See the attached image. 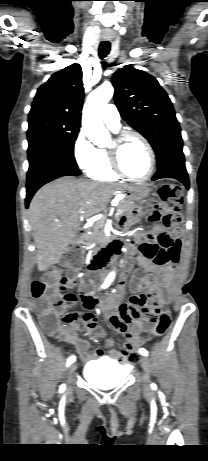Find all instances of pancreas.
Masks as SVG:
<instances>
[{
  "label": "pancreas",
  "mask_w": 208,
  "mask_h": 461,
  "mask_svg": "<svg viewBox=\"0 0 208 461\" xmlns=\"http://www.w3.org/2000/svg\"><path fill=\"white\" fill-rule=\"evenodd\" d=\"M135 207V203L132 199L130 198H125L122 200L119 205L117 206V210H122L123 213H128L131 212ZM106 216L102 218L98 224L95 226L94 231L92 232L91 235V242L88 243V246H91L92 244H105L107 242V239L104 235L103 231V226L105 224Z\"/></svg>",
  "instance_id": "cf45deb5"
}]
</instances>
